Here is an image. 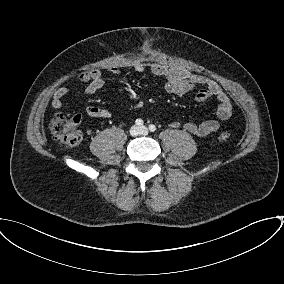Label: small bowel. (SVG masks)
<instances>
[{
    "mask_svg": "<svg viewBox=\"0 0 284 284\" xmlns=\"http://www.w3.org/2000/svg\"><path fill=\"white\" fill-rule=\"evenodd\" d=\"M130 68L138 73H144L150 70L154 75L163 77L166 80V91L176 96H183L193 89L201 87L196 92V101L204 102L210 98H215L218 102L216 111L217 118L221 121H226L232 115V103L229 96L217 82L205 75L194 74L183 68L167 67L161 64H153L147 67L142 62H134L130 65ZM109 72L119 74L120 69L111 68ZM77 80L80 83L87 84L85 89L86 95L95 94L104 85L103 73L99 69L82 72L78 75ZM68 93L69 89L67 87L58 88L53 94L52 106L55 109L62 108L63 98ZM86 113L91 117L97 118H107L110 116L108 110L93 105L86 107ZM171 127L183 128L185 131L198 137H205L216 132L220 127V123L213 119L205 120L201 123L188 122L184 124L179 121H173Z\"/></svg>",
    "mask_w": 284,
    "mask_h": 284,
    "instance_id": "1",
    "label": "small bowel"
}]
</instances>
